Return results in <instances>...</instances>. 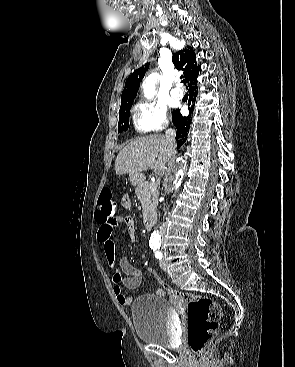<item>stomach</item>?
<instances>
[{
	"instance_id": "stomach-1",
	"label": "stomach",
	"mask_w": 295,
	"mask_h": 367,
	"mask_svg": "<svg viewBox=\"0 0 295 367\" xmlns=\"http://www.w3.org/2000/svg\"><path fill=\"white\" fill-rule=\"evenodd\" d=\"M130 182L134 186L142 184L144 181V176L142 173H131L129 174Z\"/></svg>"
}]
</instances>
